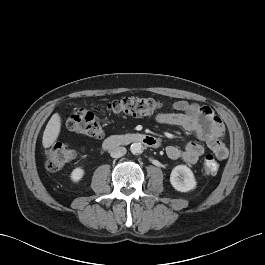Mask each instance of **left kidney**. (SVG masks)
I'll use <instances>...</instances> for the list:
<instances>
[{"label": "left kidney", "mask_w": 265, "mask_h": 265, "mask_svg": "<svg viewBox=\"0 0 265 265\" xmlns=\"http://www.w3.org/2000/svg\"><path fill=\"white\" fill-rule=\"evenodd\" d=\"M171 185L180 192H188L196 188V180L192 170L186 165H177L170 175Z\"/></svg>", "instance_id": "obj_1"}]
</instances>
